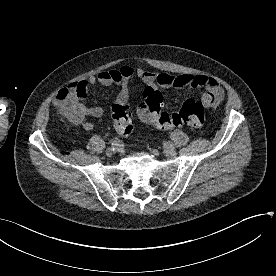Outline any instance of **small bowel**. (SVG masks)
<instances>
[{"label": "small bowel", "instance_id": "obj_1", "mask_svg": "<svg viewBox=\"0 0 276 276\" xmlns=\"http://www.w3.org/2000/svg\"><path fill=\"white\" fill-rule=\"evenodd\" d=\"M134 75L139 77L147 85L157 84L161 88L202 87L205 89V92L201 95L200 100L207 108H215L225 96L221 84L215 78L207 75H173L167 72L157 73L143 68L135 69L130 65H122L116 69L100 71L88 79L75 83L82 88L83 93L81 96L75 97L72 100L73 105L78 110V115L75 118H68V120L73 124L81 125L85 130H91L93 125L85 117L99 118L103 115V109L99 106H87L83 103L88 86H95L96 84L106 87L117 85L120 90L114 104L125 105L129 100V81ZM57 105L60 110L58 101ZM139 116L145 123H150L143 115L139 114Z\"/></svg>", "mask_w": 276, "mask_h": 276}]
</instances>
